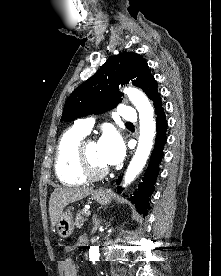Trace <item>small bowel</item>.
<instances>
[{"instance_id": "1", "label": "small bowel", "mask_w": 221, "mask_h": 276, "mask_svg": "<svg viewBox=\"0 0 221 276\" xmlns=\"http://www.w3.org/2000/svg\"><path fill=\"white\" fill-rule=\"evenodd\" d=\"M85 242H86V239L82 237L79 241V244L83 245ZM70 251H72V248L68 247L67 252H70ZM63 269H64L65 276H78L77 266L71 257H67L63 261Z\"/></svg>"}]
</instances>
